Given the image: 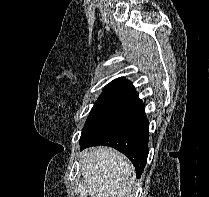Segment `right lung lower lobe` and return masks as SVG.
Segmentation results:
<instances>
[{"label": "right lung lower lobe", "mask_w": 209, "mask_h": 197, "mask_svg": "<svg viewBox=\"0 0 209 197\" xmlns=\"http://www.w3.org/2000/svg\"><path fill=\"white\" fill-rule=\"evenodd\" d=\"M148 139L145 105L137 96L86 127L80 145L81 149L105 145L119 150L132 161L136 175L140 176L147 161Z\"/></svg>", "instance_id": "98d812e1"}]
</instances>
